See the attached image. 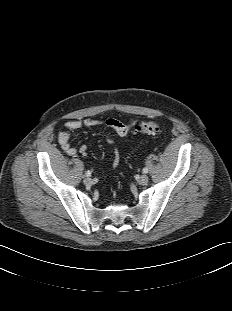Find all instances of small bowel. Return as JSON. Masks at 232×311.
Here are the masks:
<instances>
[{
    "label": "small bowel",
    "mask_w": 232,
    "mask_h": 311,
    "mask_svg": "<svg viewBox=\"0 0 232 311\" xmlns=\"http://www.w3.org/2000/svg\"><path fill=\"white\" fill-rule=\"evenodd\" d=\"M137 120L134 118L129 123L124 124L116 119H107L105 122H102L97 119H85L83 121L81 120H70L66 123V129L64 131H61L58 134V142L61 146V148L68 154V155H75L78 152L82 155H85L87 153V146L81 145L78 149L75 148L70 144V137L73 132L76 130L84 127V128H91L95 127L101 124H105L107 127L113 129L116 132L117 137L119 138H125L130 129L133 125H135ZM108 141L110 143L114 142V138L112 136H108ZM119 162V155L116 152L115 153V159L113 162L114 166H117Z\"/></svg>",
    "instance_id": "obj_1"
}]
</instances>
